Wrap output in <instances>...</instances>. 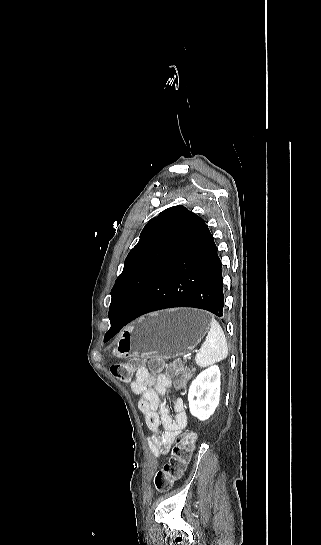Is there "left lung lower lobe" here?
Returning <instances> with one entry per match:
<instances>
[{"instance_id":"left-lung-lower-lobe-1","label":"left lung lower lobe","mask_w":321,"mask_h":545,"mask_svg":"<svg viewBox=\"0 0 321 545\" xmlns=\"http://www.w3.org/2000/svg\"><path fill=\"white\" fill-rule=\"evenodd\" d=\"M221 260L205 221L192 213L165 264L134 309L110 318L111 334L135 318L173 307L200 308L223 315L224 295Z\"/></svg>"}]
</instances>
